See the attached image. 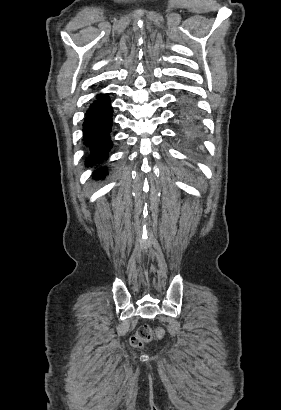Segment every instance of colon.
Listing matches in <instances>:
<instances>
[{"label": "colon", "mask_w": 281, "mask_h": 410, "mask_svg": "<svg viewBox=\"0 0 281 410\" xmlns=\"http://www.w3.org/2000/svg\"><path fill=\"white\" fill-rule=\"evenodd\" d=\"M163 334L164 330L161 327L152 328L149 325H142L131 337L130 343L134 348H141L145 343L154 338H160Z\"/></svg>", "instance_id": "5ec220e1"}]
</instances>
